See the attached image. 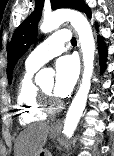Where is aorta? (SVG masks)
Returning a JSON list of instances; mask_svg holds the SVG:
<instances>
[{
	"label": "aorta",
	"instance_id": "1",
	"mask_svg": "<svg viewBox=\"0 0 114 156\" xmlns=\"http://www.w3.org/2000/svg\"><path fill=\"white\" fill-rule=\"evenodd\" d=\"M65 21H69L73 28L77 31L81 50L83 54L84 71L82 83L76 93L64 122L63 133L67 137H71L78 125L79 119L85 109L87 96L91 86V77L94 65L95 41L91 26L87 18L80 12L71 9L57 10L44 17L40 26L43 33H48L58 28ZM53 73L50 70H41L36 81L39 82L46 77L51 78Z\"/></svg>",
	"mask_w": 114,
	"mask_h": 156
}]
</instances>
